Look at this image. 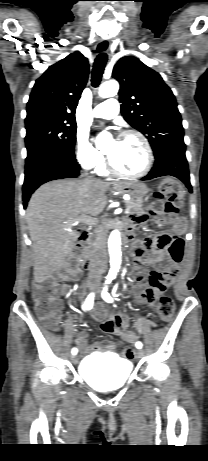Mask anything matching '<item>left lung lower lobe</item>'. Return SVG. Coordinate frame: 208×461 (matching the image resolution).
<instances>
[{
	"label": "left lung lower lobe",
	"instance_id": "0a47b994",
	"mask_svg": "<svg viewBox=\"0 0 208 461\" xmlns=\"http://www.w3.org/2000/svg\"><path fill=\"white\" fill-rule=\"evenodd\" d=\"M155 159L154 167L142 180L171 175L185 183L189 191L192 192L184 144L170 145L164 148L155 155Z\"/></svg>",
	"mask_w": 208,
	"mask_h": 461
}]
</instances>
